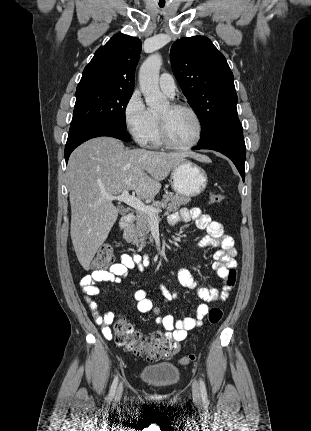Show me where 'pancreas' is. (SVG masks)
I'll list each match as a JSON object with an SVG mask.
<instances>
[{
	"label": "pancreas",
	"mask_w": 311,
	"mask_h": 431,
	"mask_svg": "<svg viewBox=\"0 0 311 431\" xmlns=\"http://www.w3.org/2000/svg\"><path fill=\"white\" fill-rule=\"evenodd\" d=\"M191 202V198H185V196H172V194H164L160 202H152L151 208H165L166 212H178L181 206H185ZM150 216L145 212H138L136 210L135 223H129L124 229V239L128 243H135L138 249H143L146 243H153L154 239L152 235H149L150 229ZM149 239V241H146Z\"/></svg>",
	"instance_id": "obj_1"
}]
</instances>
